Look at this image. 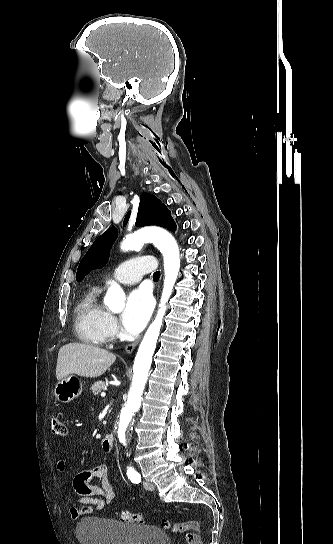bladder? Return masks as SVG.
<instances>
[{"mask_svg":"<svg viewBox=\"0 0 333 544\" xmlns=\"http://www.w3.org/2000/svg\"><path fill=\"white\" fill-rule=\"evenodd\" d=\"M80 544H170L169 536L152 525H132L100 517L81 519L75 530Z\"/></svg>","mask_w":333,"mask_h":544,"instance_id":"1","label":"bladder"}]
</instances>
